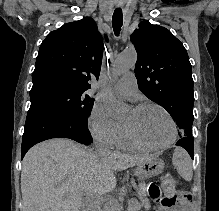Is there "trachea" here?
I'll list each match as a JSON object with an SVG mask.
<instances>
[{
	"label": "trachea",
	"instance_id": "obj_1",
	"mask_svg": "<svg viewBox=\"0 0 219 211\" xmlns=\"http://www.w3.org/2000/svg\"><path fill=\"white\" fill-rule=\"evenodd\" d=\"M112 23H113V30L115 35L118 37L121 31V27L123 24V14L121 8H116L113 17H112Z\"/></svg>",
	"mask_w": 219,
	"mask_h": 211
}]
</instances>
